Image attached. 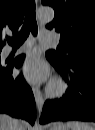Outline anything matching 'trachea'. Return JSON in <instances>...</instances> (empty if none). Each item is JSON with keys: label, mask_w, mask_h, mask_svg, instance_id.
Segmentation results:
<instances>
[{"label": "trachea", "mask_w": 95, "mask_h": 130, "mask_svg": "<svg viewBox=\"0 0 95 130\" xmlns=\"http://www.w3.org/2000/svg\"><path fill=\"white\" fill-rule=\"evenodd\" d=\"M30 32H32L34 36H36L38 32L34 0L29 4L21 31L15 37L9 39L8 43L13 47L19 46L27 39Z\"/></svg>", "instance_id": "3493384b"}]
</instances>
